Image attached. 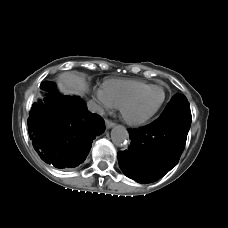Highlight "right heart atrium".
Instances as JSON below:
<instances>
[{"label":"right heart atrium","mask_w":228,"mask_h":228,"mask_svg":"<svg viewBox=\"0 0 228 228\" xmlns=\"http://www.w3.org/2000/svg\"><path fill=\"white\" fill-rule=\"evenodd\" d=\"M96 97L98 99V101L106 108H110L112 107V105L110 104V102L108 101V99L104 96L102 91H98L96 93Z\"/></svg>","instance_id":"d8ad5b80"}]
</instances>
